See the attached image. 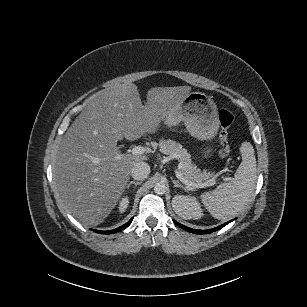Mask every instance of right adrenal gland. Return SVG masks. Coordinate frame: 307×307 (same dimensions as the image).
I'll return each instance as SVG.
<instances>
[{
    "instance_id": "right-adrenal-gland-1",
    "label": "right adrenal gland",
    "mask_w": 307,
    "mask_h": 307,
    "mask_svg": "<svg viewBox=\"0 0 307 307\" xmlns=\"http://www.w3.org/2000/svg\"><path fill=\"white\" fill-rule=\"evenodd\" d=\"M141 183H142L141 181H139V182L131 181L130 183L127 184V189H129L132 184L137 186V185H140Z\"/></svg>"
}]
</instances>
